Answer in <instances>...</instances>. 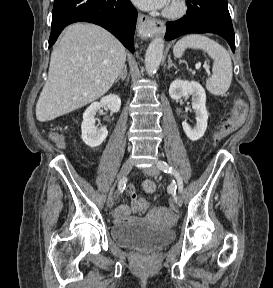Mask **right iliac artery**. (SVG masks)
Instances as JSON below:
<instances>
[{
  "label": "right iliac artery",
  "instance_id": "82829eb1",
  "mask_svg": "<svg viewBox=\"0 0 273 288\" xmlns=\"http://www.w3.org/2000/svg\"><path fill=\"white\" fill-rule=\"evenodd\" d=\"M124 179L126 180V178H124ZM112 190H113V188L111 189V192H112ZM111 192H110V193H111Z\"/></svg>",
  "mask_w": 273,
  "mask_h": 288
}]
</instances>
